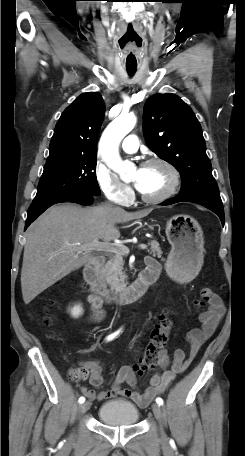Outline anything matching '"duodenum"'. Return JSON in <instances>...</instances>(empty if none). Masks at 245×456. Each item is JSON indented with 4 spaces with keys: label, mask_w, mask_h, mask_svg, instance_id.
<instances>
[{
    "label": "duodenum",
    "mask_w": 245,
    "mask_h": 456,
    "mask_svg": "<svg viewBox=\"0 0 245 456\" xmlns=\"http://www.w3.org/2000/svg\"><path fill=\"white\" fill-rule=\"evenodd\" d=\"M104 261V256H95L84 268V279L89 285L92 295L98 302L129 303L136 301L157 280L160 271V266L157 263L146 262V268L130 286L114 291L106 286L101 276L100 269Z\"/></svg>",
    "instance_id": "410a0bca"
}]
</instances>
